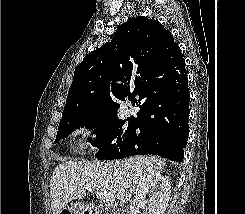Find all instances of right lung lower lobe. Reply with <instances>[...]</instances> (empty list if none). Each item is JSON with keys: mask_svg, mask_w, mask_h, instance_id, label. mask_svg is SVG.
<instances>
[{"mask_svg": "<svg viewBox=\"0 0 245 214\" xmlns=\"http://www.w3.org/2000/svg\"><path fill=\"white\" fill-rule=\"evenodd\" d=\"M187 81L186 77L175 84L165 78L156 82L144 96L137 117L129 122L126 142L112 149L107 160L153 154L181 162L189 135Z\"/></svg>", "mask_w": 245, "mask_h": 214, "instance_id": "1", "label": "right lung lower lobe"}]
</instances>
